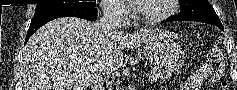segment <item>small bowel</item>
Wrapping results in <instances>:
<instances>
[{"instance_id":"small-bowel-1","label":"small bowel","mask_w":237,"mask_h":90,"mask_svg":"<svg viewBox=\"0 0 237 90\" xmlns=\"http://www.w3.org/2000/svg\"><path fill=\"white\" fill-rule=\"evenodd\" d=\"M212 74L210 65L202 66L195 74L187 79L183 86V90H199L202 82L208 79Z\"/></svg>"}]
</instances>
